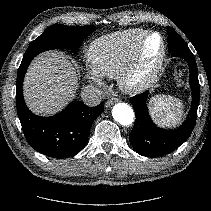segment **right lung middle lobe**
I'll list each match as a JSON object with an SVG mask.
<instances>
[{
    "instance_id": "1",
    "label": "right lung middle lobe",
    "mask_w": 211,
    "mask_h": 211,
    "mask_svg": "<svg viewBox=\"0 0 211 211\" xmlns=\"http://www.w3.org/2000/svg\"><path fill=\"white\" fill-rule=\"evenodd\" d=\"M94 30L95 28L90 25H52L30 44L24 54L23 60L32 59L41 52L55 48H70L77 52L82 41Z\"/></svg>"
}]
</instances>
